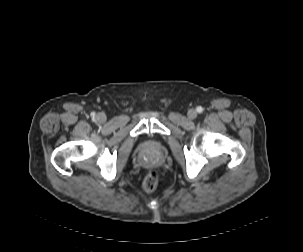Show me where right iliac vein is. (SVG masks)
I'll return each instance as SVG.
<instances>
[{"instance_id":"right-iliac-vein-1","label":"right iliac vein","mask_w":303,"mask_h":252,"mask_svg":"<svg viewBox=\"0 0 303 252\" xmlns=\"http://www.w3.org/2000/svg\"><path fill=\"white\" fill-rule=\"evenodd\" d=\"M96 119L99 123H104L106 121V115L104 113H99L96 116Z\"/></svg>"}]
</instances>
